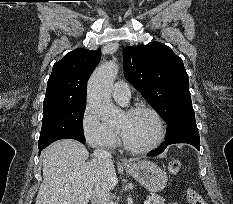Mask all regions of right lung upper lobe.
<instances>
[{
	"instance_id": "cb5924a9",
	"label": "right lung upper lobe",
	"mask_w": 233,
	"mask_h": 204,
	"mask_svg": "<svg viewBox=\"0 0 233 204\" xmlns=\"http://www.w3.org/2000/svg\"><path fill=\"white\" fill-rule=\"evenodd\" d=\"M101 58V49H75L53 65L44 103L86 101V84Z\"/></svg>"
}]
</instances>
